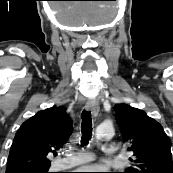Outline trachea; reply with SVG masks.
Returning <instances> with one entry per match:
<instances>
[{
  "label": "trachea",
  "instance_id": "1",
  "mask_svg": "<svg viewBox=\"0 0 173 173\" xmlns=\"http://www.w3.org/2000/svg\"><path fill=\"white\" fill-rule=\"evenodd\" d=\"M82 123H81V144L82 146L88 144L92 136V118L89 111H83L81 114Z\"/></svg>",
  "mask_w": 173,
  "mask_h": 173
}]
</instances>
